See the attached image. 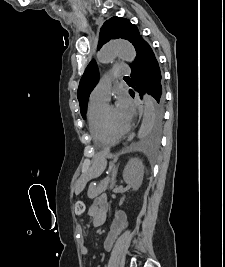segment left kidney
I'll return each instance as SVG.
<instances>
[{"label":"left kidney","mask_w":225,"mask_h":267,"mask_svg":"<svg viewBox=\"0 0 225 267\" xmlns=\"http://www.w3.org/2000/svg\"><path fill=\"white\" fill-rule=\"evenodd\" d=\"M143 175L144 166L138 158L131 159L123 170V179L133 190L140 188Z\"/></svg>","instance_id":"obj_1"}]
</instances>
